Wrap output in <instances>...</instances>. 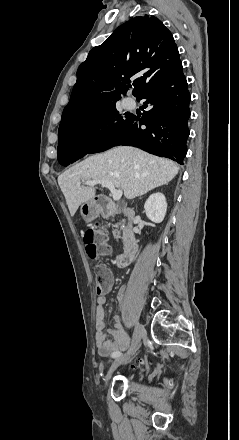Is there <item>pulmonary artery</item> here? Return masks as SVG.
I'll list each match as a JSON object with an SVG mask.
<instances>
[{"label": "pulmonary artery", "instance_id": "e3ab8cb5", "mask_svg": "<svg viewBox=\"0 0 239 440\" xmlns=\"http://www.w3.org/2000/svg\"><path fill=\"white\" fill-rule=\"evenodd\" d=\"M123 106L127 110H133L136 107V102L132 98H126L123 101Z\"/></svg>", "mask_w": 239, "mask_h": 440}]
</instances>
